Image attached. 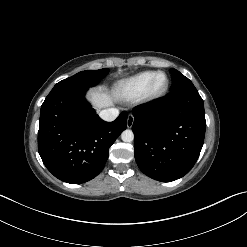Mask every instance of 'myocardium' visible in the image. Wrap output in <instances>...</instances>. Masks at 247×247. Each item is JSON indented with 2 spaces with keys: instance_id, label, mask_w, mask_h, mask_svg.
Returning <instances> with one entry per match:
<instances>
[{
  "instance_id": "myocardium-1",
  "label": "myocardium",
  "mask_w": 247,
  "mask_h": 247,
  "mask_svg": "<svg viewBox=\"0 0 247 247\" xmlns=\"http://www.w3.org/2000/svg\"><path fill=\"white\" fill-rule=\"evenodd\" d=\"M164 78V84L159 87L158 80L159 78ZM169 88V78L164 72H157L152 81L150 82L144 98L147 100H154L162 97Z\"/></svg>"
}]
</instances>
